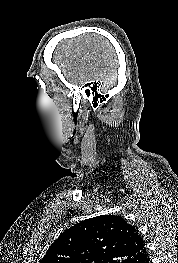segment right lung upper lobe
I'll return each mask as SVG.
<instances>
[{
    "instance_id": "right-lung-upper-lobe-1",
    "label": "right lung upper lobe",
    "mask_w": 178,
    "mask_h": 263,
    "mask_svg": "<svg viewBox=\"0 0 178 263\" xmlns=\"http://www.w3.org/2000/svg\"><path fill=\"white\" fill-rule=\"evenodd\" d=\"M148 258L136 227L121 216L102 215L61 233L40 263H144Z\"/></svg>"
}]
</instances>
